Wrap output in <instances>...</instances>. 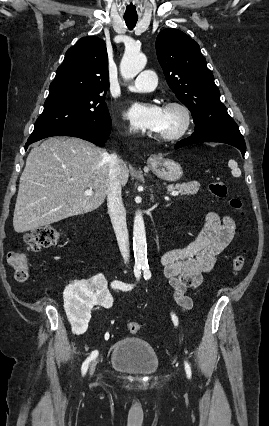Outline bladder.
Instances as JSON below:
<instances>
[{"instance_id": "bladder-1", "label": "bladder", "mask_w": 269, "mask_h": 426, "mask_svg": "<svg viewBox=\"0 0 269 426\" xmlns=\"http://www.w3.org/2000/svg\"><path fill=\"white\" fill-rule=\"evenodd\" d=\"M110 364L122 372L149 375L157 371L159 359L147 341L137 337H126L114 345Z\"/></svg>"}]
</instances>
